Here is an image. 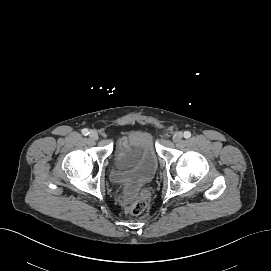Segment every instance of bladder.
Listing matches in <instances>:
<instances>
[{
	"instance_id": "1",
	"label": "bladder",
	"mask_w": 271,
	"mask_h": 271,
	"mask_svg": "<svg viewBox=\"0 0 271 271\" xmlns=\"http://www.w3.org/2000/svg\"><path fill=\"white\" fill-rule=\"evenodd\" d=\"M129 140L137 147L138 155L124 170L115 167V175L113 176L114 183L126 193L128 199L152 180L158 166L155 147L146 131L132 132L129 135Z\"/></svg>"
}]
</instances>
